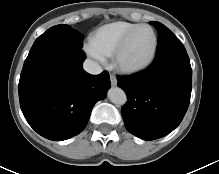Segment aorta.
Returning <instances> with one entry per match:
<instances>
[{"label":"aorta","mask_w":219,"mask_h":174,"mask_svg":"<svg viewBox=\"0 0 219 174\" xmlns=\"http://www.w3.org/2000/svg\"><path fill=\"white\" fill-rule=\"evenodd\" d=\"M108 98L117 105H124L127 102L126 93L119 87H111L108 90Z\"/></svg>","instance_id":"1"}]
</instances>
